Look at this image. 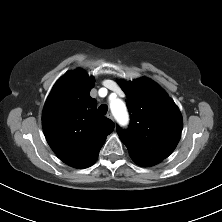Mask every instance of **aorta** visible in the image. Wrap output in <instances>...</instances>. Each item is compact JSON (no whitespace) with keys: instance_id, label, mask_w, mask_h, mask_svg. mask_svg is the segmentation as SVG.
Wrapping results in <instances>:
<instances>
[{"instance_id":"762f6f07","label":"aorta","mask_w":222,"mask_h":222,"mask_svg":"<svg viewBox=\"0 0 222 222\" xmlns=\"http://www.w3.org/2000/svg\"><path fill=\"white\" fill-rule=\"evenodd\" d=\"M111 110L120 122H124L127 119L126 108L123 102L119 100L112 101Z\"/></svg>"}]
</instances>
